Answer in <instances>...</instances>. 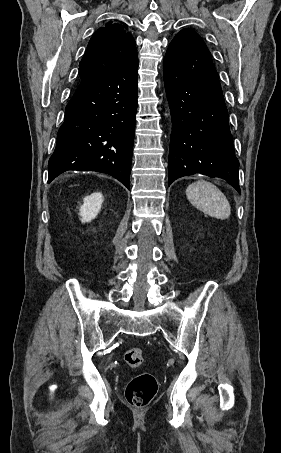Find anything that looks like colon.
Listing matches in <instances>:
<instances>
[{
    "mask_svg": "<svg viewBox=\"0 0 281 453\" xmlns=\"http://www.w3.org/2000/svg\"><path fill=\"white\" fill-rule=\"evenodd\" d=\"M123 360L127 366L140 368L145 363V357L141 349L134 348L126 351ZM157 380L149 373H137L130 377L126 387L125 396L127 402L137 408L148 405L157 393Z\"/></svg>",
    "mask_w": 281,
    "mask_h": 453,
    "instance_id": "obj_1",
    "label": "colon"
}]
</instances>
